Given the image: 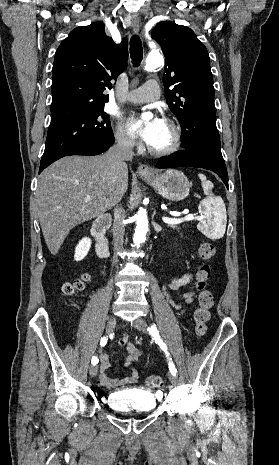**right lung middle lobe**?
Returning a JSON list of instances; mask_svg holds the SVG:
<instances>
[{"label": "right lung middle lobe", "instance_id": "dd1d6c3e", "mask_svg": "<svg viewBox=\"0 0 279 465\" xmlns=\"http://www.w3.org/2000/svg\"><path fill=\"white\" fill-rule=\"evenodd\" d=\"M98 107L50 124L41 164L80 144H101L114 139L110 118Z\"/></svg>", "mask_w": 279, "mask_h": 465}]
</instances>
